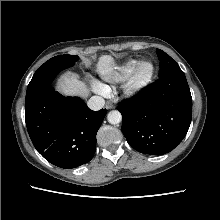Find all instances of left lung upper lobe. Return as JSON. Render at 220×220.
I'll list each match as a JSON object with an SVG mask.
<instances>
[{"label": "left lung upper lobe", "instance_id": "1", "mask_svg": "<svg viewBox=\"0 0 220 220\" xmlns=\"http://www.w3.org/2000/svg\"><path fill=\"white\" fill-rule=\"evenodd\" d=\"M156 52L160 60L159 77L170 74L183 73L179 65L168 54L160 49H156Z\"/></svg>", "mask_w": 220, "mask_h": 220}]
</instances>
